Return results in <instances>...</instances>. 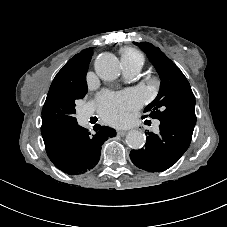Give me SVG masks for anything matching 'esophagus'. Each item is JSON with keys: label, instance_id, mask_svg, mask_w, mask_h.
Segmentation results:
<instances>
[{"label": "esophagus", "instance_id": "obj_1", "mask_svg": "<svg viewBox=\"0 0 227 227\" xmlns=\"http://www.w3.org/2000/svg\"><path fill=\"white\" fill-rule=\"evenodd\" d=\"M127 130H118L117 131V134L119 135V136H124V135H126L127 134Z\"/></svg>", "mask_w": 227, "mask_h": 227}]
</instances>
